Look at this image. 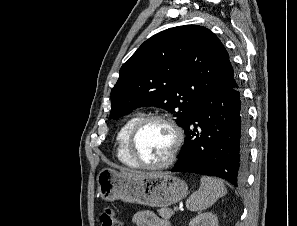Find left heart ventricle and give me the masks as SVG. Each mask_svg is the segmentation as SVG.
Masks as SVG:
<instances>
[{"label":"left heart ventricle","mask_w":297,"mask_h":226,"mask_svg":"<svg viewBox=\"0 0 297 226\" xmlns=\"http://www.w3.org/2000/svg\"><path fill=\"white\" fill-rule=\"evenodd\" d=\"M174 139V133L167 124L153 121L144 125L139 131L135 150L143 162L157 164L169 156Z\"/></svg>","instance_id":"b2bd125f"}]
</instances>
